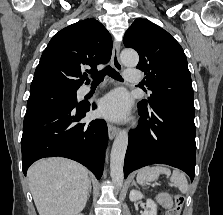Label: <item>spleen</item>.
I'll use <instances>...</instances> for the list:
<instances>
[{
	"label": "spleen",
	"instance_id": "spleen-1",
	"mask_svg": "<svg viewBox=\"0 0 223 215\" xmlns=\"http://www.w3.org/2000/svg\"><path fill=\"white\" fill-rule=\"evenodd\" d=\"M160 173L171 175L169 167H162V165H154V167H142V169H140V171L137 173V181L138 183H141V185H145V183H148V181H155V179H158ZM170 181H173V185L179 187L182 193H186L188 189V181L182 171L175 169L170 177Z\"/></svg>",
	"mask_w": 223,
	"mask_h": 215
}]
</instances>
